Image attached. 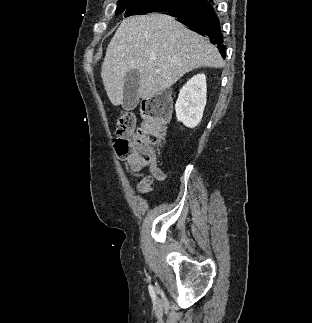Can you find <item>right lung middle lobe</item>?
Returning a JSON list of instances; mask_svg holds the SVG:
<instances>
[{
    "label": "right lung middle lobe",
    "mask_w": 312,
    "mask_h": 323,
    "mask_svg": "<svg viewBox=\"0 0 312 323\" xmlns=\"http://www.w3.org/2000/svg\"><path fill=\"white\" fill-rule=\"evenodd\" d=\"M190 0H118L115 14L128 17L177 9Z\"/></svg>",
    "instance_id": "dd1d6c3e"
}]
</instances>
